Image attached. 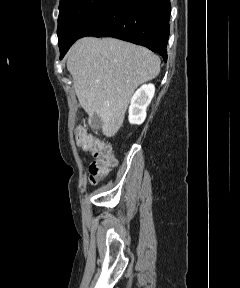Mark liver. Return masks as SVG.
<instances>
[{
  "instance_id": "1",
  "label": "liver",
  "mask_w": 240,
  "mask_h": 288,
  "mask_svg": "<svg viewBox=\"0 0 240 288\" xmlns=\"http://www.w3.org/2000/svg\"><path fill=\"white\" fill-rule=\"evenodd\" d=\"M67 69L81 107L101 119L102 133L114 136L123 124L137 87L160 72L149 49L115 38L85 37L67 53Z\"/></svg>"
}]
</instances>
